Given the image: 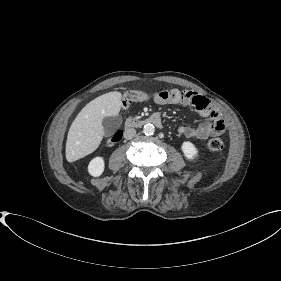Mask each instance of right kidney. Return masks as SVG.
Returning <instances> with one entry per match:
<instances>
[{
  "instance_id": "right-kidney-1",
  "label": "right kidney",
  "mask_w": 281,
  "mask_h": 281,
  "mask_svg": "<svg viewBox=\"0 0 281 281\" xmlns=\"http://www.w3.org/2000/svg\"><path fill=\"white\" fill-rule=\"evenodd\" d=\"M105 168L104 159L102 157L93 158L88 165V172L93 177L100 176Z\"/></svg>"
}]
</instances>
